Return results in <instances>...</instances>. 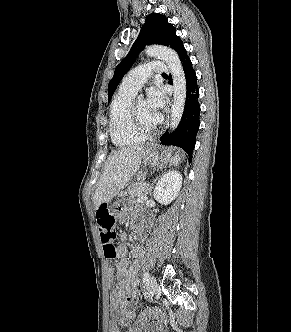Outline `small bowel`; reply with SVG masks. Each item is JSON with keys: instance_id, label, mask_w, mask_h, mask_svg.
<instances>
[{"instance_id": "c3829d8e", "label": "small bowel", "mask_w": 291, "mask_h": 332, "mask_svg": "<svg viewBox=\"0 0 291 332\" xmlns=\"http://www.w3.org/2000/svg\"><path fill=\"white\" fill-rule=\"evenodd\" d=\"M137 233L141 232V228L135 225ZM116 257L119 258V262L116 266L115 276L117 279V288L111 293L110 303L115 313L116 318L127 325L136 318V312L132 307L133 300L137 297V271L139 268V261L143 256V247H134L131 251L132 263L129 265L126 253L127 246L122 243L117 247ZM109 273L112 275L113 271ZM142 323H147L145 319H142ZM158 324L150 326L151 329L157 328ZM129 332H139L138 329H131Z\"/></svg>"}]
</instances>
